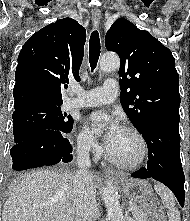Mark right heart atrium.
I'll use <instances>...</instances> for the list:
<instances>
[{"mask_svg":"<svg viewBox=\"0 0 190 221\" xmlns=\"http://www.w3.org/2000/svg\"><path fill=\"white\" fill-rule=\"evenodd\" d=\"M77 149L81 153L99 155L101 147L95 138L85 129L81 130L76 139Z\"/></svg>","mask_w":190,"mask_h":221,"instance_id":"1","label":"right heart atrium"}]
</instances>
